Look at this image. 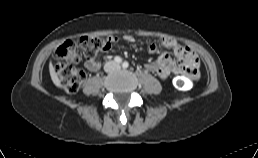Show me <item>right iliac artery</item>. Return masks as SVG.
<instances>
[{
    "label": "right iliac artery",
    "instance_id": "right-iliac-artery-1",
    "mask_svg": "<svg viewBox=\"0 0 258 158\" xmlns=\"http://www.w3.org/2000/svg\"><path fill=\"white\" fill-rule=\"evenodd\" d=\"M114 61H115L116 63L120 64V63L122 62V59H121L119 56H116V57L114 58Z\"/></svg>",
    "mask_w": 258,
    "mask_h": 158
}]
</instances>
